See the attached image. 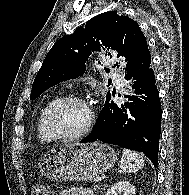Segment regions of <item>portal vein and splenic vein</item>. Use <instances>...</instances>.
I'll return each mask as SVG.
<instances>
[{"instance_id":"1","label":"portal vein and splenic vein","mask_w":189,"mask_h":195,"mask_svg":"<svg viewBox=\"0 0 189 195\" xmlns=\"http://www.w3.org/2000/svg\"><path fill=\"white\" fill-rule=\"evenodd\" d=\"M95 181H96V182H100V181H101V178H96Z\"/></svg>"}]
</instances>
